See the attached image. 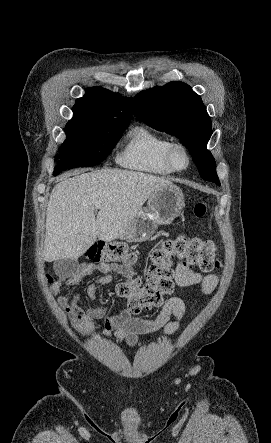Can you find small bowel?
Wrapping results in <instances>:
<instances>
[{
    "label": "small bowel",
    "instance_id": "1",
    "mask_svg": "<svg viewBox=\"0 0 271 443\" xmlns=\"http://www.w3.org/2000/svg\"><path fill=\"white\" fill-rule=\"evenodd\" d=\"M96 271L102 273L103 276L87 286L85 299L88 303L95 300L98 285L111 283L114 274L122 275L125 278L134 274L132 269L118 263H84L72 275L55 281L50 290L53 294H58L63 288H76L85 276ZM174 279L176 284L181 287L200 284L202 291L206 294L212 293L218 284L216 275L204 276L193 270L187 263H179L176 266ZM80 299V295L75 293H67L58 298V304L67 315L69 324L74 330L87 337L91 332L93 321L105 318L104 336L112 337L120 342L124 341L129 345L136 344L139 336L161 329L165 335L173 334L178 329L186 309L183 300L171 297L165 301L155 319L133 317L128 310L127 303H125L124 309L117 314L105 317L103 306L84 308L80 305ZM172 316L174 320H171Z\"/></svg>",
    "mask_w": 271,
    "mask_h": 443
}]
</instances>
